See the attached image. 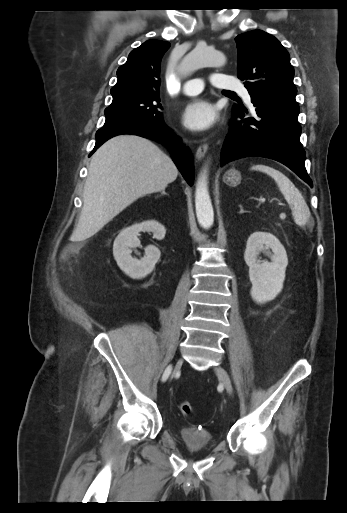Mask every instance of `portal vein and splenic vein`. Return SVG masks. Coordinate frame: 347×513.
Masks as SVG:
<instances>
[{
  "label": "portal vein and splenic vein",
  "instance_id": "18ae733b",
  "mask_svg": "<svg viewBox=\"0 0 347 513\" xmlns=\"http://www.w3.org/2000/svg\"><path fill=\"white\" fill-rule=\"evenodd\" d=\"M264 202H265V198H261L260 203H264Z\"/></svg>",
  "mask_w": 347,
  "mask_h": 513
}]
</instances>
